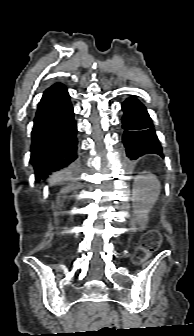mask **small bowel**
I'll return each mask as SVG.
<instances>
[{
	"label": "small bowel",
	"mask_w": 194,
	"mask_h": 336,
	"mask_svg": "<svg viewBox=\"0 0 194 336\" xmlns=\"http://www.w3.org/2000/svg\"><path fill=\"white\" fill-rule=\"evenodd\" d=\"M105 308H106V306L103 305V306H102V309H105Z\"/></svg>",
	"instance_id": "small-bowel-1"
}]
</instances>
